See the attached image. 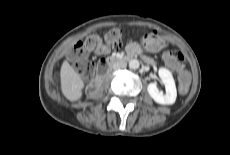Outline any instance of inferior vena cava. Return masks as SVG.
I'll return each instance as SVG.
<instances>
[{"label":"inferior vena cava","instance_id":"obj_1","mask_svg":"<svg viewBox=\"0 0 230 155\" xmlns=\"http://www.w3.org/2000/svg\"><path fill=\"white\" fill-rule=\"evenodd\" d=\"M126 66H127V63L123 60H120L113 64V69L114 70L123 69V68H126Z\"/></svg>","mask_w":230,"mask_h":155}]
</instances>
